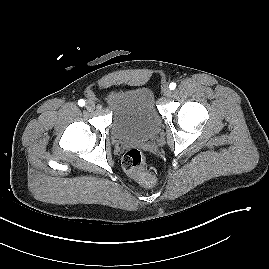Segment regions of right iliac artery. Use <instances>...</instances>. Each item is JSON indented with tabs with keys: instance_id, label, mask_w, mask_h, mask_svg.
Wrapping results in <instances>:
<instances>
[{
	"instance_id": "1",
	"label": "right iliac artery",
	"mask_w": 269,
	"mask_h": 269,
	"mask_svg": "<svg viewBox=\"0 0 269 269\" xmlns=\"http://www.w3.org/2000/svg\"><path fill=\"white\" fill-rule=\"evenodd\" d=\"M78 105L81 106V107L84 106L85 105V101L83 99H80L78 101Z\"/></svg>"
}]
</instances>
